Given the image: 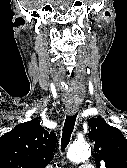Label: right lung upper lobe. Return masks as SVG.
<instances>
[{"label": "right lung upper lobe", "instance_id": "cb5924a9", "mask_svg": "<svg viewBox=\"0 0 127 168\" xmlns=\"http://www.w3.org/2000/svg\"><path fill=\"white\" fill-rule=\"evenodd\" d=\"M56 147V135L38 119L18 124L0 137V168H44Z\"/></svg>", "mask_w": 127, "mask_h": 168}]
</instances>
